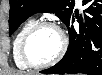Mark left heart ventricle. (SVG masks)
I'll use <instances>...</instances> for the list:
<instances>
[{
    "label": "left heart ventricle",
    "instance_id": "b2bd125f",
    "mask_svg": "<svg viewBox=\"0 0 102 75\" xmlns=\"http://www.w3.org/2000/svg\"><path fill=\"white\" fill-rule=\"evenodd\" d=\"M61 48V37L52 27L39 29L31 38L28 52L36 62H48L52 60Z\"/></svg>",
    "mask_w": 102,
    "mask_h": 75
}]
</instances>
